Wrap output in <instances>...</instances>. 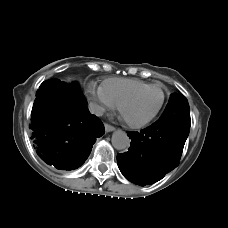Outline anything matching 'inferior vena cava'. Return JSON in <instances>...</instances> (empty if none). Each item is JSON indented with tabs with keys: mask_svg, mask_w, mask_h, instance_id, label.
Listing matches in <instances>:
<instances>
[{
	"mask_svg": "<svg viewBox=\"0 0 228 228\" xmlns=\"http://www.w3.org/2000/svg\"><path fill=\"white\" fill-rule=\"evenodd\" d=\"M88 108H89L90 113L95 114L97 116H102L105 111V109L103 107L99 106L98 104H96L94 102H90Z\"/></svg>",
	"mask_w": 228,
	"mask_h": 228,
	"instance_id": "inferior-vena-cava-1",
	"label": "inferior vena cava"
}]
</instances>
